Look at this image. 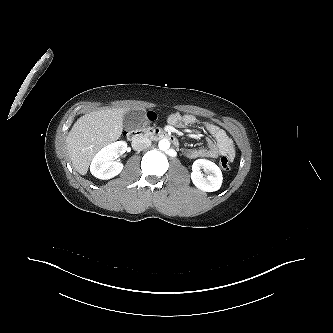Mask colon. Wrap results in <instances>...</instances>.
<instances>
[{
  "label": "colon",
  "mask_w": 333,
  "mask_h": 333,
  "mask_svg": "<svg viewBox=\"0 0 333 333\" xmlns=\"http://www.w3.org/2000/svg\"><path fill=\"white\" fill-rule=\"evenodd\" d=\"M156 119V114L153 111H148L145 116V123H151ZM219 166L222 170H229L230 159L228 156H222L219 160Z\"/></svg>",
  "instance_id": "obj_1"
}]
</instances>
